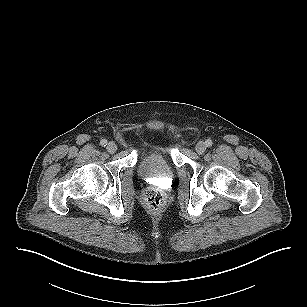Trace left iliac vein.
<instances>
[{"instance_id": "left-iliac-vein-1", "label": "left iliac vein", "mask_w": 307, "mask_h": 307, "mask_svg": "<svg viewBox=\"0 0 307 307\" xmlns=\"http://www.w3.org/2000/svg\"><path fill=\"white\" fill-rule=\"evenodd\" d=\"M195 150L198 154H203L206 151V145L204 142H198L195 146Z\"/></svg>"}]
</instances>
